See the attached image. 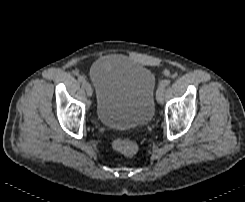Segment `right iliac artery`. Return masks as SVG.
Segmentation results:
<instances>
[{
	"mask_svg": "<svg viewBox=\"0 0 245 202\" xmlns=\"http://www.w3.org/2000/svg\"><path fill=\"white\" fill-rule=\"evenodd\" d=\"M78 80H79L80 82H85V77L80 75V76L78 77Z\"/></svg>",
	"mask_w": 245,
	"mask_h": 202,
	"instance_id": "1",
	"label": "right iliac artery"
}]
</instances>
